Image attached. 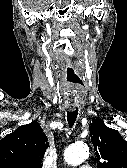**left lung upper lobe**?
<instances>
[{"mask_svg":"<svg viewBox=\"0 0 127 168\" xmlns=\"http://www.w3.org/2000/svg\"><path fill=\"white\" fill-rule=\"evenodd\" d=\"M89 129L97 168H127V142L120 133L99 118L90 122Z\"/></svg>","mask_w":127,"mask_h":168,"instance_id":"obj_1","label":"left lung upper lobe"}]
</instances>
